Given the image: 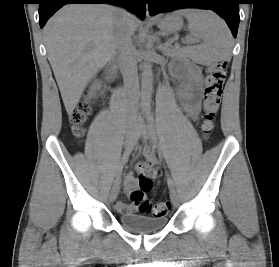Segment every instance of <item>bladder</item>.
Instances as JSON below:
<instances>
[{"label":"bladder","mask_w":279,"mask_h":267,"mask_svg":"<svg viewBox=\"0 0 279 267\" xmlns=\"http://www.w3.org/2000/svg\"><path fill=\"white\" fill-rule=\"evenodd\" d=\"M119 220L126 229L134 232H155L167 224V218L164 216L151 217L137 213L121 214Z\"/></svg>","instance_id":"bladder-1"}]
</instances>
